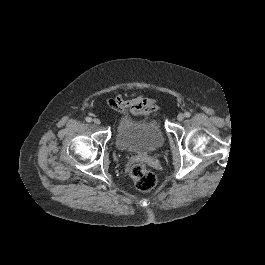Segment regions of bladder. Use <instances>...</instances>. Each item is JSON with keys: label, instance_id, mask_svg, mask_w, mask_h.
Returning a JSON list of instances; mask_svg holds the SVG:
<instances>
[{"label": "bladder", "instance_id": "31cf9c89", "mask_svg": "<svg viewBox=\"0 0 265 265\" xmlns=\"http://www.w3.org/2000/svg\"><path fill=\"white\" fill-rule=\"evenodd\" d=\"M115 142L121 150L147 154L162 147L164 133L157 121L140 124L125 118L116 131Z\"/></svg>", "mask_w": 265, "mask_h": 265}]
</instances>
